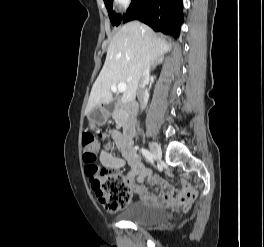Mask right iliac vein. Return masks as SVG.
<instances>
[{"label": "right iliac vein", "instance_id": "1", "mask_svg": "<svg viewBox=\"0 0 264 247\" xmlns=\"http://www.w3.org/2000/svg\"><path fill=\"white\" fill-rule=\"evenodd\" d=\"M149 147H150V150H151L153 156L157 159H160L162 156L160 146L155 142H150Z\"/></svg>", "mask_w": 264, "mask_h": 247}]
</instances>
